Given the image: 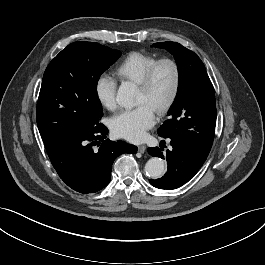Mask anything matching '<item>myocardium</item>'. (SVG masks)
Segmentation results:
<instances>
[{"mask_svg":"<svg viewBox=\"0 0 265 265\" xmlns=\"http://www.w3.org/2000/svg\"><path fill=\"white\" fill-rule=\"evenodd\" d=\"M163 64H168L172 67L174 73V81L171 93L167 100L156 109V114L159 116H163L170 111V109L175 104L181 87V69L179 64L171 58H161L156 60L144 73L140 82L138 83V87L143 92H148L151 89L154 74L159 66Z\"/></svg>","mask_w":265,"mask_h":265,"instance_id":"myocardium-1","label":"myocardium"}]
</instances>
